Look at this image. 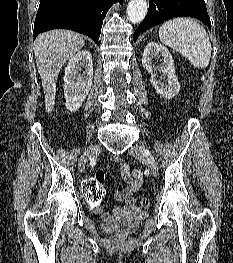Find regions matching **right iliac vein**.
<instances>
[{"label": "right iliac vein", "mask_w": 233, "mask_h": 263, "mask_svg": "<svg viewBox=\"0 0 233 263\" xmlns=\"http://www.w3.org/2000/svg\"><path fill=\"white\" fill-rule=\"evenodd\" d=\"M101 150V146L100 145H95L92 146L90 148H88L87 150H85V152L83 153L81 159H80V163L79 166L81 167V169H83V167L85 166V164L88 162V160L97 155Z\"/></svg>", "instance_id": "63e3f726"}]
</instances>
